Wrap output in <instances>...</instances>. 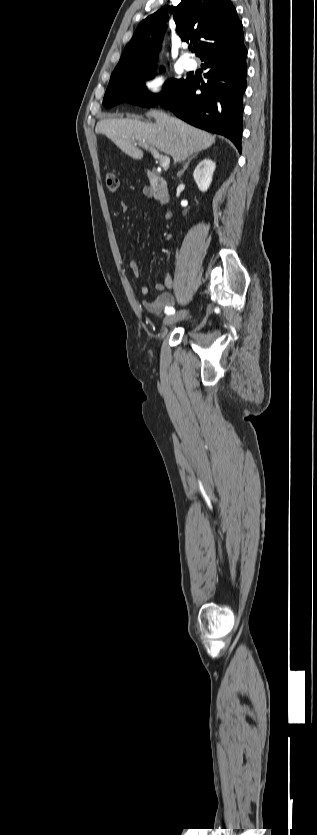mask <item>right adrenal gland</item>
<instances>
[{
  "instance_id": "obj_1",
  "label": "right adrenal gland",
  "mask_w": 317,
  "mask_h": 835,
  "mask_svg": "<svg viewBox=\"0 0 317 835\" xmlns=\"http://www.w3.org/2000/svg\"><path fill=\"white\" fill-rule=\"evenodd\" d=\"M197 155H198V153H195L194 155H192V156L188 159V161L184 164L183 170H181V171H179V172L177 173V177H181V176H182V174H183V173L187 170V168H188V166H189L190 162H191L194 158H196V157H197Z\"/></svg>"
}]
</instances>
